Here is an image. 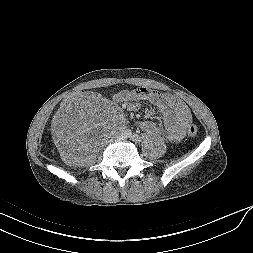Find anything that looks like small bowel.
<instances>
[{"instance_id":"c3829d8e","label":"small bowel","mask_w":253,"mask_h":253,"mask_svg":"<svg viewBox=\"0 0 253 253\" xmlns=\"http://www.w3.org/2000/svg\"><path fill=\"white\" fill-rule=\"evenodd\" d=\"M114 100L130 110H137L141 101H148L158 108L165 120L164 127L160 129L155 122L143 121L140 128L146 132H160L170 143L183 139L186 128L192 120L191 112L183 101L148 88L121 90L114 95Z\"/></svg>"}]
</instances>
